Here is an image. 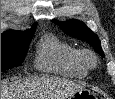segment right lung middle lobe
Here are the masks:
<instances>
[{
    "instance_id": "obj_1",
    "label": "right lung middle lobe",
    "mask_w": 115,
    "mask_h": 99,
    "mask_svg": "<svg viewBox=\"0 0 115 99\" xmlns=\"http://www.w3.org/2000/svg\"><path fill=\"white\" fill-rule=\"evenodd\" d=\"M33 35L1 37V72L21 65Z\"/></svg>"
}]
</instances>
